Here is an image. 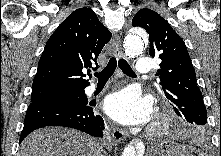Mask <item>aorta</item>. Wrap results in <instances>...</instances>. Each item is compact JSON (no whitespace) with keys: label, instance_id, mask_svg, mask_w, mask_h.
<instances>
[{"label":"aorta","instance_id":"obj_1","mask_svg":"<svg viewBox=\"0 0 221 156\" xmlns=\"http://www.w3.org/2000/svg\"><path fill=\"white\" fill-rule=\"evenodd\" d=\"M148 43L146 32L140 28L130 29L124 39V51L129 57L139 55ZM144 146L142 144L136 146L130 143L123 151L122 156H143Z\"/></svg>","mask_w":221,"mask_h":156}]
</instances>
